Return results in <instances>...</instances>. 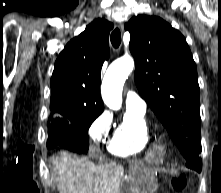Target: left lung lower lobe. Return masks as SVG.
<instances>
[{
    "mask_svg": "<svg viewBox=\"0 0 221 193\" xmlns=\"http://www.w3.org/2000/svg\"><path fill=\"white\" fill-rule=\"evenodd\" d=\"M186 166L196 170L197 172H201V168H202V161L200 156H196L193 159L190 160H186Z\"/></svg>",
    "mask_w": 221,
    "mask_h": 193,
    "instance_id": "1",
    "label": "left lung lower lobe"
}]
</instances>
